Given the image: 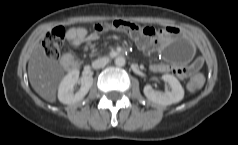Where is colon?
I'll use <instances>...</instances> for the list:
<instances>
[{"mask_svg": "<svg viewBox=\"0 0 238 145\" xmlns=\"http://www.w3.org/2000/svg\"><path fill=\"white\" fill-rule=\"evenodd\" d=\"M109 31L123 32L134 38L137 44L144 50L151 52L155 49L158 38L163 34L162 30L150 26H143L135 22L117 19L109 23L95 25L96 33ZM66 32L62 27H56L49 31L43 40L45 55L48 59H58L64 45ZM204 77L201 74L193 76L189 81L190 90H198L203 86Z\"/></svg>", "mask_w": 238, "mask_h": 145, "instance_id": "5ec220e1", "label": "colon"}]
</instances>
